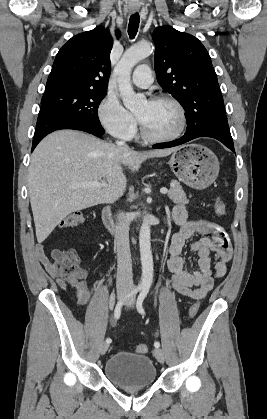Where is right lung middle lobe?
Segmentation results:
<instances>
[{
  "instance_id": "obj_1",
  "label": "right lung middle lobe",
  "mask_w": 267,
  "mask_h": 419,
  "mask_svg": "<svg viewBox=\"0 0 267 419\" xmlns=\"http://www.w3.org/2000/svg\"><path fill=\"white\" fill-rule=\"evenodd\" d=\"M106 90L65 89L45 92L41 107L58 110L82 122L100 125L98 107Z\"/></svg>"
}]
</instances>
